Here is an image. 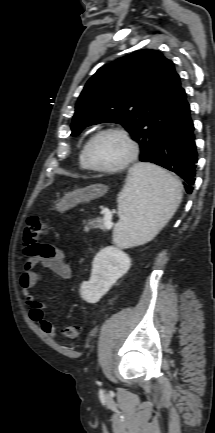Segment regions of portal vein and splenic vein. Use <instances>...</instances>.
I'll use <instances>...</instances> for the list:
<instances>
[{
	"label": "portal vein and splenic vein",
	"instance_id": "1",
	"mask_svg": "<svg viewBox=\"0 0 215 433\" xmlns=\"http://www.w3.org/2000/svg\"><path fill=\"white\" fill-rule=\"evenodd\" d=\"M102 213L104 214V226L106 229H110L113 226V223L111 221L112 219V212L105 208L102 210Z\"/></svg>",
	"mask_w": 215,
	"mask_h": 433
}]
</instances>
